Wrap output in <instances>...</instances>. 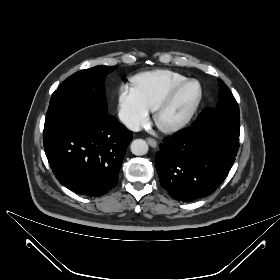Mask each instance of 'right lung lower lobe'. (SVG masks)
Here are the masks:
<instances>
[{"label":"right lung lower lobe","instance_id":"1","mask_svg":"<svg viewBox=\"0 0 280 280\" xmlns=\"http://www.w3.org/2000/svg\"><path fill=\"white\" fill-rule=\"evenodd\" d=\"M132 134L114 116L65 117L44 126L43 143L59 182L86 196L112 190Z\"/></svg>","mask_w":280,"mask_h":280}]
</instances>
